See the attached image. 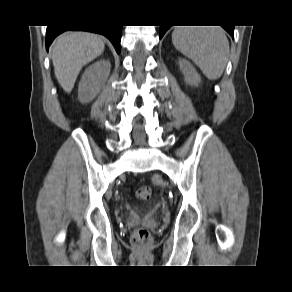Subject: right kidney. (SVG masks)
Instances as JSON below:
<instances>
[{
	"mask_svg": "<svg viewBox=\"0 0 292 292\" xmlns=\"http://www.w3.org/2000/svg\"><path fill=\"white\" fill-rule=\"evenodd\" d=\"M110 61L103 59L96 61L86 68L78 87V99L88 103L100 92L110 74Z\"/></svg>",
	"mask_w": 292,
	"mask_h": 292,
	"instance_id": "ca27d5eb",
	"label": "right kidney"
}]
</instances>
